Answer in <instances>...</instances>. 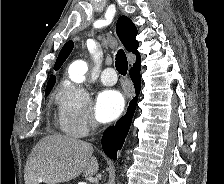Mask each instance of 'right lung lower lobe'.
<instances>
[{
	"instance_id": "right-lung-lower-lobe-1",
	"label": "right lung lower lobe",
	"mask_w": 224,
	"mask_h": 184,
	"mask_svg": "<svg viewBox=\"0 0 224 184\" xmlns=\"http://www.w3.org/2000/svg\"><path fill=\"white\" fill-rule=\"evenodd\" d=\"M140 65L133 66L130 69V77L134 83L136 95L140 93L141 79H140ZM138 97L136 96L130 103L126 114L118 120L115 126H111L104 131L102 136V148L107 156L111 159H117V151L121 149L124 140L128 134L132 117L136 108Z\"/></svg>"
}]
</instances>
